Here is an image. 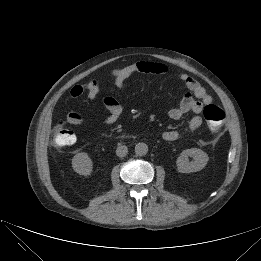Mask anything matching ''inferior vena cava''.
<instances>
[{"label": "inferior vena cava", "instance_id": "obj_1", "mask_svg": "<svg viewBox=\"0 0 261 261\" xmlns=\"http://www.w3.org/2000/svg\"><path fill=\"white\" fill-rule=\"evenodd\" d=\"M128 153V148L125 145H119L116 149V155L119 157H124Z\"/></svg>", "mask_w": 261, "mask_h": 261}]
</instances>
